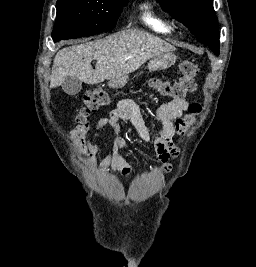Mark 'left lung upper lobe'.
<instances>
[{"label":"left lung upper lobe","mask_w":256,"mask_h":267,"mask_svg":"<svg viewBox=\"0 0 256 267\" xmlns=\"http://www.w3.org/2000/svg\"><path fill=\"white\" fill-rule=\"evenodd\" d=\"M157 2L219 55V32L213 0H157Z\"/></svg>","instance_id":"1"}]
</instances>
